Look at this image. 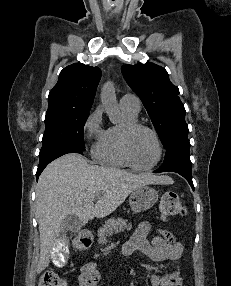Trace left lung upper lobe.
Returning <instances> with one entry per match:
<instances>
[{
  "label": "left lung upper lobe",
  "mask_w": 231,
  "mask_h": 286,
  "mask_svg": "<svg viewBox=\"0 0 231 286\" xmlns=\"http://www.w3.org/2000/svg\"><path fill=\"white\" fill-rule=\"evenodd\" d=\"M121 70L128 85L142 100L165 147L173 139L188 135L179 89L170 82L164 68L146 63L124 65Z\"/></svg>",
  "instance_id": "5c2ea615"
}]
</instances>
